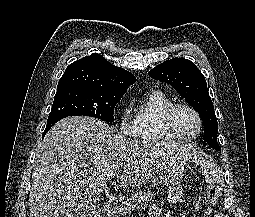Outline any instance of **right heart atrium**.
Wrapping results in <instances>:
<instances>
[{
	"instance_id": "1",
	"label": "right heart atrium",
	"mask_w": 255,
	"mask_h": 217,
	"mask_svg": "<svg viewBox=\"0 0 255 217\" xmlns=\"http://www.w3.org/2000/svg\"><path fill=\"white\" fill-rule=\"evenodd\" d=\"M119 129L120 132L127 136L134 135L135 127L134 120L131 118L129 107H125L119 117Z\"/></svg>"
}]
</instances>
